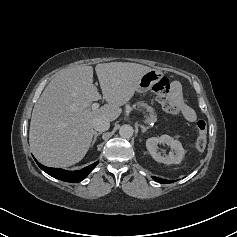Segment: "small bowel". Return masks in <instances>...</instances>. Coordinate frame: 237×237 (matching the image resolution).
I'll return each instance as SVG.
<instances>
[{"mask_svg":"<svg viewBox=\"0 0 237 237\" xmlns=\"http://www.w3.org/2000/svg\"><path fill=\"white\" fill-rule=\"evenodd\" d=\"M171 89H172V96L174 100H176L181 107L183 117L188 122H194L196 120V112L192 107H190L184 102L181 95L180 85L178 83H173V85L171 86Z\"/></svg>","mask_w":237,"mask_h":237,"instance_id":"obj_1","label":"small bowel"}]
</instances>
